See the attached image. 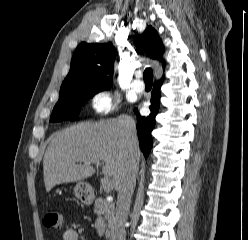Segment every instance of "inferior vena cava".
Segmentation results:
<instances>
[{
  "mask_svg": "<svg viewBox=\"0 0 248 240\" xmlns=\"http://www.w3.org/2000/svg\"><path fill=\"white\" fill-rule=\"evenodd\" d=\"M127 142L129 144V156L126 168L118 183V198L116 207V239L126 240L125 223L130 209L131 198L136 182L138 161L134 154V146L137 143L135 123L128 127Z\"/></svg>",
  "mask_w": 248,
  "mask_h": 240,
  "instance_id": "obj_1",
  "label": "inferior vena cava"
}]
</instances>
